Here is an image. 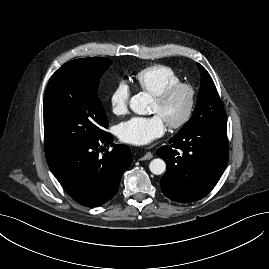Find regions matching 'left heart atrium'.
<instances>
[{
    "mask_svg": "<svg viewBox=\"0 0 269 269\" xmlns=\"http://www.w3.org/2000/svg\"><path fill=\"white\" fill-rule=\"evenodd\" d=\"M164 131V120L158 114L149 117L134 116L117 126L118 137L135 145L148 144L162 136Z\"/></svg>",
    "mask_w": 269,
    "mask_h": 269,
    "instance_id": "39dd6f15",
    "label": "left heart atrium"
}]
</instances>
